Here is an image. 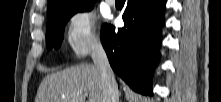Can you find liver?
Here are the masks:
<instances>
[{
    "instance_id": "obj_1",
    "label": "liver",
    "mask_w": 221,
    "mask_h": 102,
    "mask_svg": "<svg viewBox=\"0 0 221 102\" xmlns=\"http://www.w3.org/2000/svg\"><path fill=\"white\" fill-rule=\"evenodd\" d=\"M103 102L104 85L100 70L81 64L47 75L41 82L35 102Z\"/></svg>"
}]
</instances>
